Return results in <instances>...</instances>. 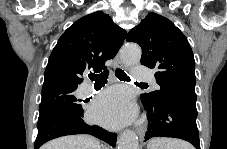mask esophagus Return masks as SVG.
Masks as SVG:
<instances>
[{"label": "esophagus", "instance_id": "1", "mask_svg": "<svg viewBox=\"0 0 227 149\" xmlns=\"http://www.w3.org/2000/svg\"><path fill=\"white\" fill-rule=\"evenodd\" d=\"M115 67H118V68L123 67V62L120 59L119 53L115 57ZM136 130H137L139 137H144L145 132H146V128L143 124L140 125Z\"/></svg>", "mask_w": 227, "mask_h": 149}]
</instances>
